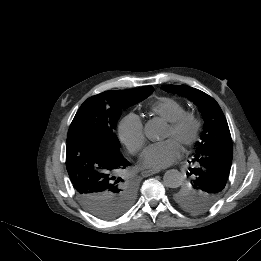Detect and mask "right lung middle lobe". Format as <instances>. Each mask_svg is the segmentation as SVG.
Listing matches in <instances>:
<instances>
[{
    "instance_id": "right-lung-middle-lobe-1",
    "label": "right lung middle lobe",
    "mask_w": 261,
    "mask_h": 261,
    "mask_svg": "<svg viewBox=\"0 0 261 261\" xmlns=\"http://www.w3.org/2000/svg\"><path fill=\"white\" fill-rule=\"evenodd\" d=\"M154 88L112 90L88 98L76 113L68 136L86 134L96 138L109 149L119 151V140L113 130L121 110L147 98ZM135 183L118 173L110 184L97 186L84 197L78 196L83 207L92 215L111 220L122 215L133 203Z\"/></svg>"
}]
</instances>
